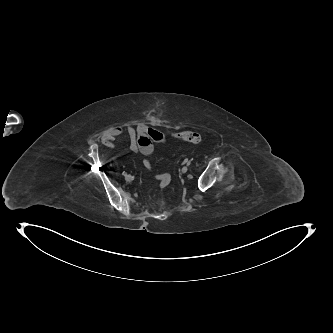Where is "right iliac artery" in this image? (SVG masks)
I'll return each instance as SVG.
<instances>
[{"label":"right iliac artery","mask_w":333,"mask_h":333,"mask_svg":"<svg viewBox=\"0 0 333 333\" xmlns=\"http://www.w3.org/2000/svg\"><path fill=\"white\" fill-rule=\"evenodd\" d=\"M123 175H124L125 177H127V176H128L126 172H123Z\"/></svg>","instance_id":"right-iliac-artery-1"}]
</instances>
